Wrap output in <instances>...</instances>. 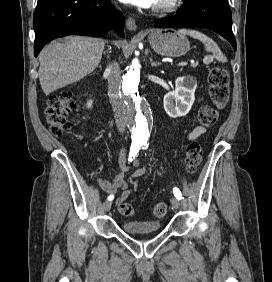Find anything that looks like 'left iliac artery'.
Segmentation results:
<instances>
[{
    "instance_id": "1",
    "label": "left iliac artery",
    "mask_w": 272,
    "mask_h": 282,
    "mask_svg": "<svg viewBox=\"0 0 272 282\" xmlns=\"http://www.w3.org/2000/svg\"><path fill=\"white\" fill-rule=\"evenodd\" d=\"M141 146H143V148H148V145H147V140H143L142 142H141ZM173 193H174V196L178 199V200H180V199H182V194H181V191L178 189V188H174L173 189Z\"/></svg>"
}]
</instances>
